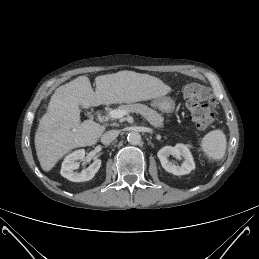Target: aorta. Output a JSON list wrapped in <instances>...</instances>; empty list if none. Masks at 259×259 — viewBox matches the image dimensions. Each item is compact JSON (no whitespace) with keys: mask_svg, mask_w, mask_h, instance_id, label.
<instances>
[{"mask_svg":"<svg viewBox=\"0 0 259 259\" xmlns=\"http://www.w3.org/2000/svg\"><path fill=\"white\" fill-rule=\"evenodd\" d=\"M127 140L132 145H138L141 142V135L138 132H130L127 136Z\"/></svg>","mask_w":259,"mask_h":259,"instance_id":"762f6f07","label":"aorta"}]
</instances>
